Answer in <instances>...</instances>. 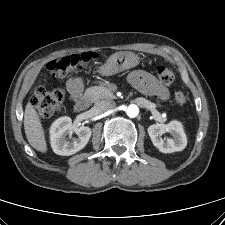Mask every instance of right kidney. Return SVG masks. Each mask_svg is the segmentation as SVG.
I'll return each mask as SVG.
<instances>
[{"mask_svg":"<svg viewBox=\"0 0 225 225\" xmlns=\"http://www.w3.org/2000/svg\"><path fill=\"white\" fill-rule=\"evenodd\" d=\"M75 132L78 137L67 140V135ZM91 129L87 126L74 128L68 116L60 117L50 127V142L53 151L62 156H70L83 149L91 137Z\"/></svg>","mask_w":225,"mask_h":225,"instance_id":"ca27d5eb","label":"right kidney"}]
</instances>
